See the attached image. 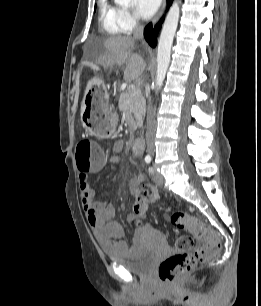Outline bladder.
<instances>
[{
  "label": "bladder",
  "instance_id": "obj_1",
  "mask_svg": "<svg viewBox=\"0 0 261 306\" xmlns=\"http://www.w3.org/2000/svg\"><path fill=\"white\" fill-rule=\"evenodd\" d=\"M157 240H163L164 236L155 229H148ZM161 245V242H159ZM108 261L116 262L123 266L126 270L138 273L146 274L150 271L153 264L155 263L159 251L157 246H149L140 241L138 238L137 242L128 250V252L122 256L105 253Z\"/></svg>",
  "mask_w": 261,
  "mask_h": 306
}]
</instances>
